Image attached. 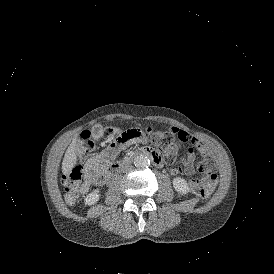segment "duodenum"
I'll list each match as a JSON object with an SVG mask.
<instances>
[{
	"mask_svg": "<svg viewBox=\"0 0 274 274\" xmlns=\"http://www.w3.org/2000/svg\"><path fill=\"white\" fill-rule=\"evenodd\" d=\"M137 155H142V156H146V157L150 158L156 166H161V164H162L161 158L157 154V152L149 147H145V148L139 150L137 153L132 154L131 156H129L123 160L113 162L110 165V172L113 173V172L118 171L124 165L128 164L132 160V158Z\"/></svg>",
	"mask_w": 274,
	"mask_h": 274,
	"instance_id": "duodenum-1",
	"label": "duodenum"
}]
</instances>
